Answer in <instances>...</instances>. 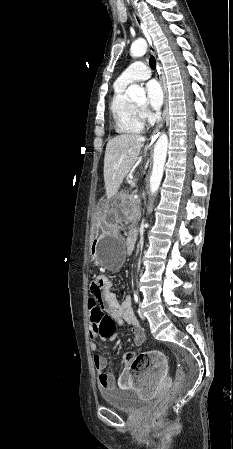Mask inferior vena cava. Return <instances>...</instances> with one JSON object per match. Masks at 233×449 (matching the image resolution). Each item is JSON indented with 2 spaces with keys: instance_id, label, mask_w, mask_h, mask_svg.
Here are the masks:
<instances>
[{
  "instance_id": "obj_1",
  "label": "inferior vena cava",
  "mask_w": 233,
  "mask_h": 449,
  "mask_svg": "<svg viewBox=\"0 0 233 449\" xmlns=\"http://www.w3.org/2000/svg\"><path fill=\"white\" fill-rule=\"evenodd\" d=\"M156 117L159 120L160 119V113H156Z\"/></svg>"
}]
</instances>
